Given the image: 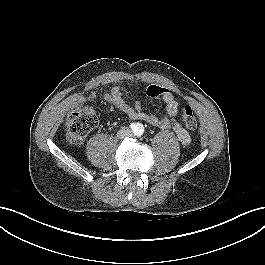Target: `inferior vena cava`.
<instances>
[{"label":"inferior vena cava","instance_id":"inferior-vena-cava-1","mask_svg":"<svg viewBox=\"0 0 265 265\" xmlns=\"http://www.w3.org/2000/svg\"><path fill=\"white\" fill-rule=\"evenodd\" d=\"M130 136H132V131L129 128H126V127H123L117 133V137L120 138V139L125 138V137H130Z\"/></svg>","mask_w":265,"mask_h":265}]
</instances>
